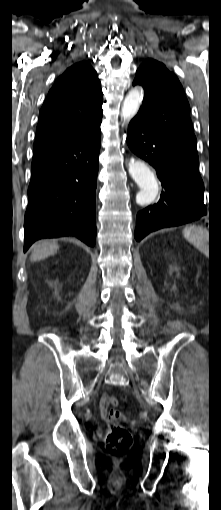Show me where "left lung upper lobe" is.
Here are the masks:
<instances>
[{
	"label": "left lung upper lobe",
	"mask_w": 221,
	"mask_h": 510,
	"mask_svg": "<svg viewBox=\"0 0 221 510\" xmlns=\"http://www.w3.org/2000/svg\"><path fill=\"white\" fill-rule=\"evenodd\" d=\"M136 84L142 85L145 91L137 116L159 136L197 154L189 103L175 74L164 64L147 59L136 72L133 85Z\"/></svg>",
	"instance_id": "left-lung-upper-lobe-1"
}]
</instances>
